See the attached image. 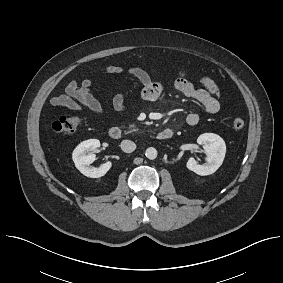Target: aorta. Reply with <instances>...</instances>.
Wrapping results in <instances>:
<instances>
[{
	"mask_svg": "<svg viewBox=\"0 0 283 283\" xmlns=\"http://www.w3.org/2000/svg\"><path fill=\"white\" fill-rule=\"evenodd\" d=\"M157 150L154 147H149L146 149L145 155L148 159L154 160L157 158Z\"/></svg>",
	"mask_w": 283,
	"mask_h": 283,
	"instance_id": "obj_1",
	"label": "aorta"
}]
</instances>
